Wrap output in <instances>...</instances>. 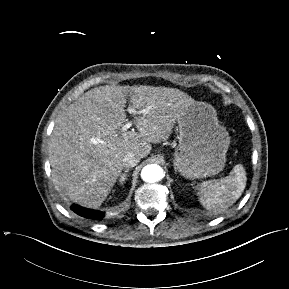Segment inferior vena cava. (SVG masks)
Masks as SVG:
<instances>
[{
  "label": "inferior vena cava",
  "mask_w": 289,
  "mask_h": 289,
  "mask_svg": "<svg viewBox=\"0 0 289 289\" xmlns=\"http://www.w3.org/2000/svg\"><path fill=\"white\" fill-rule=\"evenodd\" d=\"M140 157L133 152L127 153L123 158V166L125 168H131L136 166L140 162Z\"/></svg>",
  "instance_id": "obj_1"
}]
</instances>
